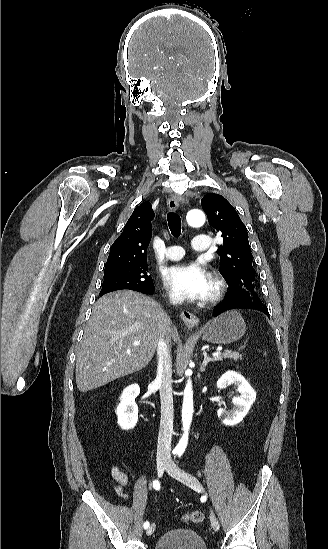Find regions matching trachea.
<instances>
[{
  "label": "trachea",
  "mask_w": 328,
  "mask_h": 549,
  "mask_svg": "<svg viewBox=\"0 0 328 549\" xmlns=\"http://www.w3.org/2000/svg\"><path fill=\"white\" fill-rule=\"evenodd\" d=\"M168 227L174 237H179L181 233V218L176 212L167 214Z\"/></svg>",
  "instance_id": "trachea-1"
}]
</instances>
